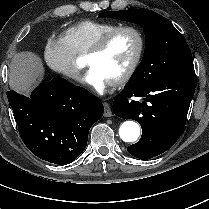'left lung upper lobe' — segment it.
Segmentation results:
<instances>
[{"instance_id":"1","label":"left lung upper lobe","mask_w":209,"mask_h":209,"mask_svg":"<svg viewBox=\"0 0 209 209\" xmlns=\"http://www.w3.org/2000/svg\"><path fill=\"white\" fill-rule=\"evenodd\" d=\"M99 17L125 20L144 29L146 46L143 59L128 82L146 84L194 69L191 51L184 37L158 13L148 9H131L108 11Z\"/></svg>"}]
</instances>
